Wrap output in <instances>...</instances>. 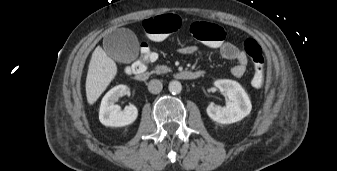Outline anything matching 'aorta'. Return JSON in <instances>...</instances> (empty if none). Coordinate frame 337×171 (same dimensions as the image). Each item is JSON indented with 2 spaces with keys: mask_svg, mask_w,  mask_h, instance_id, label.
<instances>
[{
  "mask_svg": "<svg viewBox=\"0 0 337 171\" xmlns=\"http://www.w3.org/2000/svg\"><path fill=\"white\" fill-rule=\"evenodd\" d=\"M169 91L172 94H179L182 91V85L179 81H171L168 86Z\"/></svg>",
  "mask_w": 337,
  "mask_h": 171,
  "instance_id": "1",
  "label": "aorta"
}]
</instances>
